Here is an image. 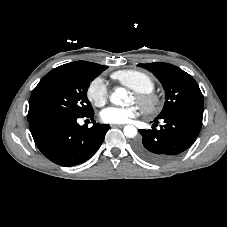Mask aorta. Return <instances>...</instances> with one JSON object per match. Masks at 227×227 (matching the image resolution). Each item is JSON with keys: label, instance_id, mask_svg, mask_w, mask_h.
Returning a JSON list of instances; mask_svg holds the SVG:
<instances>
[{"label": "aorta", "instance_id": "obj_1", "mask_svg": "<svg viewBox=\"0 0 227 227\" xmlns=\"http://www.w3.org/2000/svg\"><path fill=\"white\" fill-rule=\"evenodd\" d=\"M129 100L126 89L118 87L110 96L111 103L115 105H122L123 102ZM124 135L128 138H134L137 135V128L133 125H126L123 129Z\"/></svg>", "mask_w": 227, "mask_h": 227}]
</instances>
